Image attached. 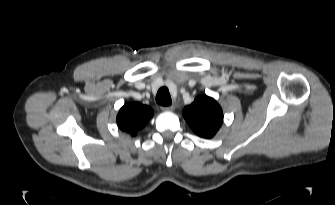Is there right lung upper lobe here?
<instances>
[{
  "instance_id": "right-lung-upper-lobe-1",
  "label": "right lung upper lobe",
  "mask_w": 335,
  "mask_h": 205,
  "mask_svg": "<svg viewBox=\"0 0 335 205\" xmlns=\"http://www.w3.org/2000/svg\"><path fill=\"white\" fill-rule=\"evenodd\" d=\"M153 110L141 103H129L124 105L118 115L117 123L121 130L135 136L152 118Z\"/></svg>"
}]
</instances>
